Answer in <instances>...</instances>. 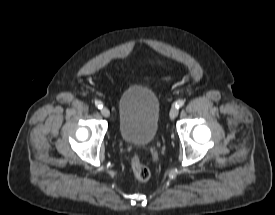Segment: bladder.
Masks as SVG:
<instances>
[{
    "instance_id": "1",
    "label": "bladder",
    "mask_w": 275,
    "mask_h": 215,
    "mask_svg": "<svg viewBox=\"0 0 275 215\" xmlns=\"http://www.w3.org/2000/svg\"><path fill=\"white\" fill-rule=\"evenodd\" d=\"M160 103L149 88L133 85L118 100V129L121 139L131 145L147 146L157 134Z\"/></svg>"
}]
</instances>
